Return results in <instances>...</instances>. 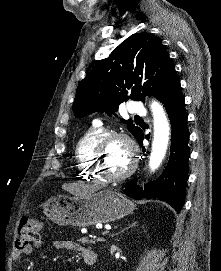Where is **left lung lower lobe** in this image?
Segmentation results:
<instances>
[{
    "label": "left lung lower lobe",
    "mask_w": 221,
    "mask_h": 271,
    "mask_svg": "<svg viewBox=\"0 0 221 271\" xmlns=\"http://www.w3.org/2000/svg\"><path fill=\"white\" fill-rule=\"evenodd\" d=\"M171 122V154L169 162L162 175L142 190L137 186V179L132 180L124 189V193L140 200L158 198L170 204L179 213L185 201V189L188 176L189 131L188 115L185 110L184 96L180 82H177L161 99ZM138 143L143 144L144 134L141 130L136 136ZM149 140V135H146Z\"/></svg>",
    "instance_id": "obj_1"
}]
</instances>
